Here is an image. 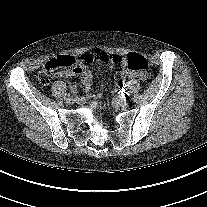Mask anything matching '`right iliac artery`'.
Returning a JSON list of instances; mask_svg holds the SVG:
<instances>
[{
    "instance_id": "right-iliac-artery-1",
    "label": "right iliac artery",
    "mask_w": 207,
    "mask_h": 207,
    "mask_svg": "<svg viewBox=\"0 0 207 207\" xmlns=\"http://www.w3.org/2000/svg\"><path fill=\"white\" fill-rule=\"evenodd\" d=\"M69 98H70V94H69V93H66V94L64 95V99L67 100V99H69Z\"/></svg>"
}]
</instances>
